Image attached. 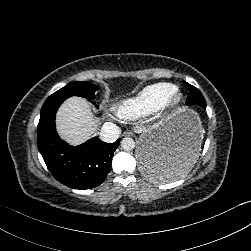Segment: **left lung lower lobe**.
Wrapping results in <instances>:
<instances>
[{
    "label": "left lung lower lobe",
    "instance_id": "0a47b994",
    "mask_svg": "<svg viewBox=\"0 0 251 251\" xmlns=\"http://www.w3.org/2000/svg\"><path fill=\"white\" fill-rule=\"evenodd\" d=\"M187 105H196V104H187ZM153 157H154V154H153L152 150H150V149L146 150V152L144 154V162L148 168H153V164H154Z\"/></svg>",
    "mask_w": 251,
    "mask_h": 251
}]
</instances>
